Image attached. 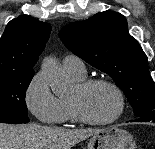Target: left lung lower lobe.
<instances>
[{"instance_id": "left-lung-lower-lobe-1", "label": "left lung lower lobe", "mask_w": 155, "mask_h": 149, "mask_svg": "<svg viewBox=\"0 0 155 149\" xmlns=\"http://www.w3.org/2000/svg\"><path fill=\"white\" fill-rule=\"evenodd\" d=\"M147 121L155 122V114L152 113V114L140 117V118H138L136 120H130V122H147Z\"/></svg>"}]
</instances>
